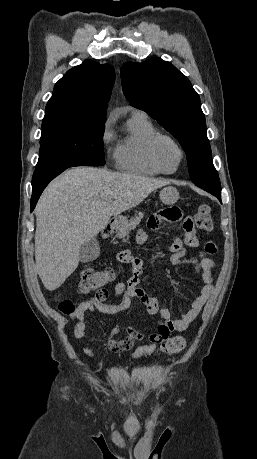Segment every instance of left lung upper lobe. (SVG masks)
<instances>
[{"instance_id": "1", "label": "left lung upper lobe", "mask_w": 257, "mask_h": 459, "mask_svg": "<svg viewBox=\"0 0 257 459\" xmlns=\"http://www.w3.org/2000/svg\"><path fill=\"white\" fill-rule=\"evenodd\" d=\"M120 74L130 104L147 112L178 139L186 152L194 184L221 197L200 98L187 77L160 58L127 62Z\"/></svg>"}]
</instances>
